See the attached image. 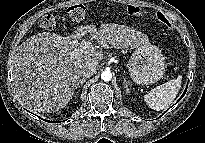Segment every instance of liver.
I'll list each match as a JSON object with an SVG mask.
<instances>
[{"mask_svg":"<svg viewBox=\"0 0 205 143\" xmlns=\"http://www.w3.org/2000/svg\"><path fill=\"white\" fill-rule=\"evenodd\" d=\"M90 34L105 49H135L149 44L146 34L126 25H83L66 37L42 32L31 36L12 58L13 86L19 101L42 113L57 112L72 98L87 62L104 58L101 50H83L79 40Z\"/></svg>","mask_w":205,"mask_h":143,"instance_id":"1","label":"liver"}]
</instances>
